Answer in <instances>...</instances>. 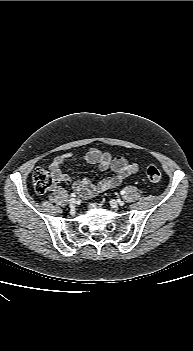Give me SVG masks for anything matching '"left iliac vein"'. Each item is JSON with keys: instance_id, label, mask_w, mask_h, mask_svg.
Instances as JSON below:
<instances>
[{"instance_id": "4c4485c4", "label": "left iliac vein", "mask_w": 193, "mask_h": 351, "mask_svg": "<svg viewBox=\"0 0 193 351\" xmlns=\"http://www.w3.org/2000/svg\"><path fill=\"white\" fill-rule=\"evenodd\" d=\"M116 203H117L118 205H120V206H123V205H124V201H122V200H118V201H116Z\"/></svg>"}]
</instances>
